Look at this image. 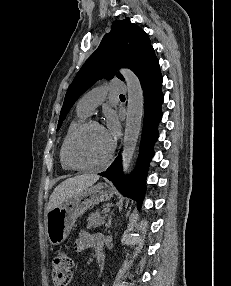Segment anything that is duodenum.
Here are the masks:
<instances>
[{"instance_id": "410a0bca", "label": "duodenum", "mask_w": 231, "mask_h": 286, "mask_svg": "<svg viewBox=\"0 0 231 286\" xmlns=\"http://www.w3.org/2000/svg\"><path fill=\"white\" fill-rule=\"evenodd\" d=\"M96 258L99 263L104 261V250H103V240L99 243L96 248Z\"/></svg>"}]
</instances>
